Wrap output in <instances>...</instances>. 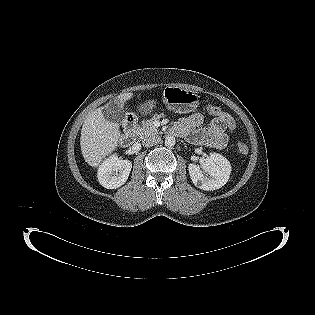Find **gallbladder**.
<instances>
[{"label": "gallbladder", "mask_w": 315, "mask_h": 315, "mask_svg": "<svg viewBox=\"0 0 315 315\" xmlns=\"http://www.w3.org/2000/svg\"><path fill=\"white\" fill-rule=\"evenodd\" d=\"M118 100H112L110 101L107 106L103 109V115L104 117L112 122L120 123L121 122V116H120V107L117 104Z\"/></svg>", "instance_id": "gallbladder-1"}]
</instances>
